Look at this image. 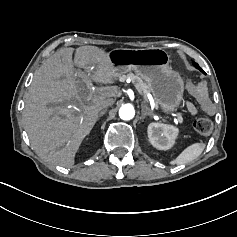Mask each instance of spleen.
I'll return each instance as SVG.
<instances>
[{"instance_id": "obj_1", "label": "spleen", "mask_w": 237, "mask_h": 237, "mask_svg": "<svg viewBox=\"0 0 237 237\" xmlns=\"http://www.w3.org/2000/svg\"><path fill=\"white\" fill-rule=\"evenodd\" d=\"M206 143L195 142L187 146L175 159L169 161L170 166L186 165L196 160L205 150Z\"/></svg>"}]
</instances>
